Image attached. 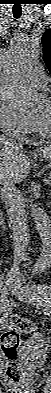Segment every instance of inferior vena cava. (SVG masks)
I'll return each instance as SVG.
<instances>
[{
  "mask_svg": "<svg viewBox=\"0 0 51 393\" xmlns=\"http://www.w3.org/2000/svg\"><path fill=\"white\" fill-rule=\"evenodd\" d=\"M17 148L21 144L15 143ZM1 197L6 202L7 213L12 225L14 237V263L9 272L11 275L19 274V263L21 256L24 254L29 242V230L27 215L25 211V202L23 196L17 190L14 182H2Z\"/></svg>",
  "mask_w": 51,
  "mask_h": 393,
  "instance_id": "1",
  "label": "inferior vena cava"
}]
</instances>
